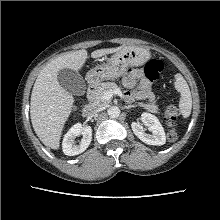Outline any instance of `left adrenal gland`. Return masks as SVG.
Masks as SVG:
<instances>
[{"mask_svg":"<svg viewBox=\"0 0 220 220\" xmlns=\"http://www.w3.org/2000/svg\"><path fill=\"white\" fill-rule=\"evenodd\" d=\"M126 107V109H131L132 107H134V106H131V105H129V106H125Z\"/></svg>","mask_w":220,"mask_h":220,"instance_id":"left-adrenal-gland-1","label":"left adrenal gland"}]
</instances>
